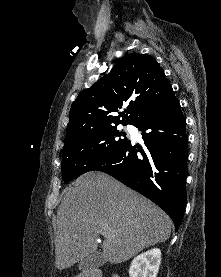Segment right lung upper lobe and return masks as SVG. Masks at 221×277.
I'll use <instances>...</instances> for the list:
<instances>
[{
  "mask_svg": "<svg viewBox=\"0 0 221 277\" xmlns=\"http://www.w3.org/2000/svg\"><path fill=\"white\" fill-rule=\"evenodd\" d=\"M172 87L157 61L148 55L131 53L119 59L110 73L73 102L66 139L107 125L132 124L147 108L164 98ZM127 106L125 112L116 113Z\"/></svg>",
  "mask_w": 221,
  "mask_h": 277,
  "instance_id": "cb5924a9",
  "label": "right lung upper lobe"
}]
</instances>
